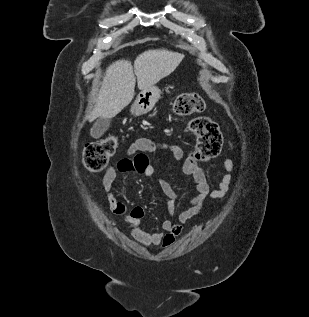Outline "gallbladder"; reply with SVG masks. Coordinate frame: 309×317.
<instances>
[{"instance_id":"bac80fb5","label":"gallbladder","mask_w":309,"mask_h":317,"mask_svg":"<svg viewBox=\"0 0 309 317\" xmlns=\"http://www.w3.org/2000/svg\"><path fill=\"white\" fill-rule=\"evenodd\" d=\"M111 123V119H105V118H98L92 128L90 129V135L93 138H99L101 137L104 132L109 128Z\"/></svg>"}]
</instances>
